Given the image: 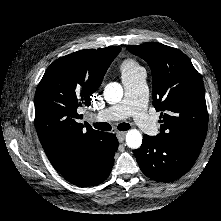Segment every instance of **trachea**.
<instances>
[{
	"label": "trachea",
	"mask_w": 221,
	"mask_h": 221,
	"mask_svg": "<svg viewBox=\"0 0 221 221\" xmlns=\"http://www.w3.org/2000/svg\"><path fill=\"white\" fill-rule=\"evenodd\" d=\"M93 126L98 129V130H102V131H110L111 130V125L107 122H97V123H93ZM130 125L127 123H120L118 125V129L120 131H126L130 129Z\"/></svg>",
	"instance_id": "3493384b"
}]
</instances>
